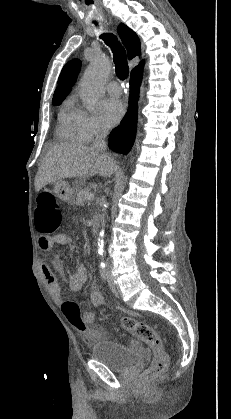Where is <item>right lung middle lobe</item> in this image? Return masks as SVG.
<instances>
[{
  "instance_id": "right-lung-middle-lobe-1",
  "label": "right lung middle lobe",
  "mask_w": 231,
  "mask_h": 419,
  "mask_svg": "<svg viewBox=\"0 0 231 419\" xmlns=\"http://www.w3.org/2000/svg\"><path fill=\"white\" fill-rule=\"evenodd\" d=\"M63 99H53L52 104L53 105H59L62 102Z\"/></svg>"
}]
</instances>
